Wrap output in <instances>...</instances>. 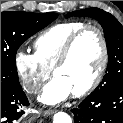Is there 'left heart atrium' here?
Listing matches in <instances>:
<instances>
[{
  "label": "left heart atrium",
  "instance_id": "39dd6f15",
  "mask_svg": "<svg viewBox=\"0 0 123 123\" xmlns=\"http://www.w3.org/2000/svg\"><path fill=\"white\" fill-rule=\"evenodd\" d=\"M71 93L70 87L66 82L56 77L43 90L41 100L47 104H57L65 100Z\"/></svg>",
  "mask_w": 123,
  "mask_h": 123
}]
</instances>
